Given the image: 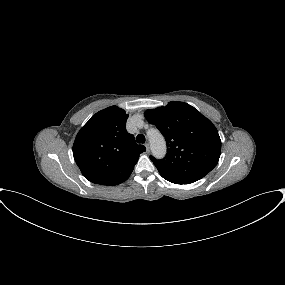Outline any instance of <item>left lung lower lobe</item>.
<instances>
[{"mask_svg":"<svg viewBox=\"0 0 285 285\" xmlns=\"http://www.w3.org/2000/svg\"><path fill=\"white\" fill-rule=\"evenodd\" d=\"M169 182L175 183V184H190L195 182L196 180L191 179H185V178H172V177H164Z\"/></svg>","mask_w":285,"mask_h":285,"instance_id":"obj_1","label":"left lung lower lobe"}]
</instances>
